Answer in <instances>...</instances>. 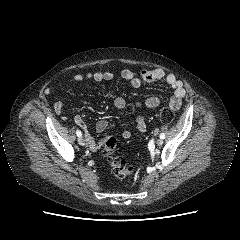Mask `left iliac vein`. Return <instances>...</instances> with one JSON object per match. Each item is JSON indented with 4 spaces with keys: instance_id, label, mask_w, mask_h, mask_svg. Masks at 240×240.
Masks as SVG:
<instances>
[{
    "instance_id": "left-iliac-vein-1",
    "label": "left iliac vein",
    "mask_w": 240,
    "mask_h": 240,
    "mask_svg": "<svg viewBox=\"0 0 240 240\" xmlns=\"http://www.w3.org/2000/svg\"><path fill=\"white\" fill-rule=\"evenodd\" d=\"M156 144H157V146H162L163 145V140L162 139H158L156 141Z\"/></svg>"
}]
</instances>
